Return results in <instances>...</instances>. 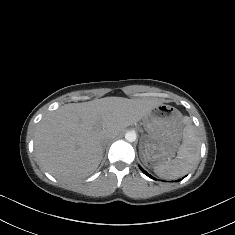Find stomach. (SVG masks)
<instances>
[{
  "mask_svg": "<svg viewBox=\"0 0 235 235\" xmlns=\"http://www.w3.org/2000/svg\"><path fill=\"white\" fill-rule=\"evenodd\" d=\"M146 134L141 135L139 154L142 163L153 168L171 160L183 138L182 113L175 107L161 104L143 118Z\"/></svg>",
  "mask_w": 235,
  "mask_h": 235,
  "instance_id": "1",
  "label": "stomach"
}]
</instances>
